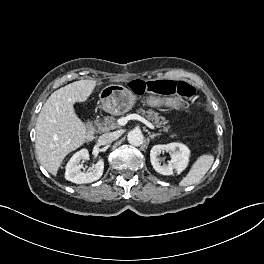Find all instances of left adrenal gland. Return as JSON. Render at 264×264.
Returning a JSON list of instances; mask_svg holds the SVG:
<instances>
[{"mask_svg": "<svg viewBox=\"0 0 264 264\" xmlns=\"http://www.w3.org/2000/svg\"><path fill=\"white\" fill-rule=\"evenodd\" d=\"M159 135H161L160 133H149V136H150V138L151 139H153L154 137H156V136H159Z\"/></svg>", "mask_w": 264, "mask_h": 264, "instance_id": "a2214340", "label": "left adrenal gland"}]
</instances>
